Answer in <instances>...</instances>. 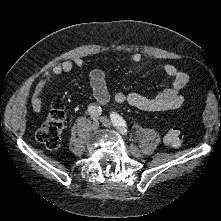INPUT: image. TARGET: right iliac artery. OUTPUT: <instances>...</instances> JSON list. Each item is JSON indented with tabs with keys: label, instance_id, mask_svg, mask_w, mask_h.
<instances>
[{
	"label": "right iliac artery",
	"instance_id": "82829eb1",
	"mask_svg": "<svg viewBox=\"0 0 221 221\" xmlns=\"http://www.w3.org/2000/svg\"><path fill=\"white\" fill-rule=\"evenodd\" d=\"M88 112L93 117H99L101 115L102 109L100 106L98 107L95 104H91L88 107Z\"/></svg>",
	"mask_w": 221,
	"mask_h": 221
}]
</instances>
